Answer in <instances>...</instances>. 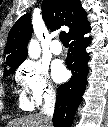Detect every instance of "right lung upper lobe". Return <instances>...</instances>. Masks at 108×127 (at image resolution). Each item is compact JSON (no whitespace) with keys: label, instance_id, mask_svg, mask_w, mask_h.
Instances as JSON below:
<instances>
[{"label":"right lung upper lobe","instance_id":"obj_1","mask_svg":"<svg viewBox=\"0 0 108 127\" xmlns=\"http://www.w3.org/2000/svg\"><path fill=\"white\" fill-rule=\"evenodd\" d=\"M42 15L47 26L54 30L65 25L69 27L68 36L87 23V14L79 0H44ZM32 35L30 15L20 17L11 28L5 54L7 66L22 63L26 59L27 44Z\"/></svg>","mask_w":108,"mask_h":127}]
</instances>
